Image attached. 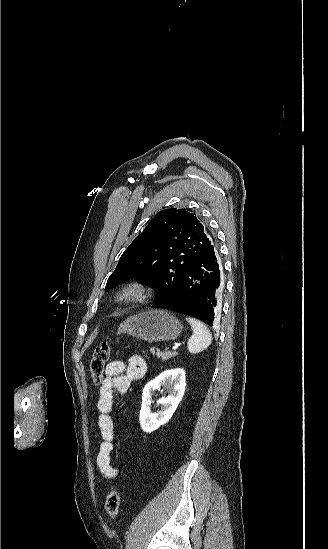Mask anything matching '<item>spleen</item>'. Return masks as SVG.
<instances>
[{
    "label": "spleen",
    "instance_id": "obj_1",
    "mask_svg": "<svg viewBox=\"0 0 328 549\" xmlns=\"http://www.w3.org/2000/svg\"><path fill=\"white\" fill-rule=\"evenodd\" d=\"M187 323H190V327L193 331L192 337L188 341L189 353H202L212 343V335L207 329L204 323L193 319V317H186Z\"/></svg>",
    "mask_w": 328,
    "mask_h": 549
}]
</instances>
